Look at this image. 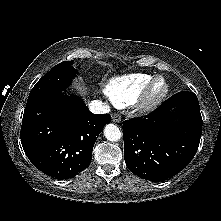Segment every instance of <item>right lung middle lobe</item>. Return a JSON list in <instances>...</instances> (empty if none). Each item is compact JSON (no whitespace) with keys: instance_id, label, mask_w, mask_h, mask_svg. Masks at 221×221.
<instances>
[{"instance_id":"right-lung-middle-lobe-1","label":"right lung middle lobe","mask_w":221,"mask_h":221,"mask_svg":"<svg viewBox=\"0 0 221 221\" xmlns=\"http://www.w3.org/2000/svg\"><path fill=\"white\" fill-rule=\"evenodd\" d=\"M77 73L73 61H63L46 73L31 90L28 100L37 96L62 91L70 85L72 77Z\"/></svg>"}]
</instances>
